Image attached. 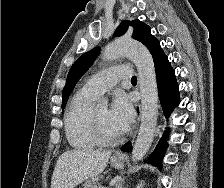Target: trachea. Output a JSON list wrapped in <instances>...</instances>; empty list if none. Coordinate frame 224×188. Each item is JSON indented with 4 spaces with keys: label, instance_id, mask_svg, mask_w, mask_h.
Masks as SVG:
<instances>
[{
    "label": "trachea",
    "instance_id": "trachea-1",
    "mask_svg": "<svg viewBox=\"0 0 224 188\" xmlns=\"http://www.w3.org/2000/svg\"><path fill=\"white\" fill-rule=\"evenodd\" d=\"M131 82H137V78H136V76H133V77L131 78Z\"/></svg>",
    "mask_w": 224,
    "mask_h": 188
}]
</instances>
